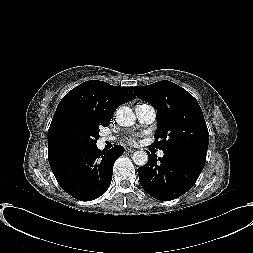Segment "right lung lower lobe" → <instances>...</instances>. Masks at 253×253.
Listing matches in <instances>:
<instances>
[{"mask_svg": "<svg viewBox=\"0 0 253 253\" xmlns=\"http://www.w3.org/2000/svg\"><path fill=\"white\" fill-rule=\"evenodd\" d=\"M123 153L120 145L106 152L92 145L63 149L49 154L48 158L62 189L78 200L91 201L109 188L114 162Z\"/></svg>", "mask_w": 253, "mask_h": 253, "instance_id": "1", "label": "right lung lower lobe"}]
</instances>
